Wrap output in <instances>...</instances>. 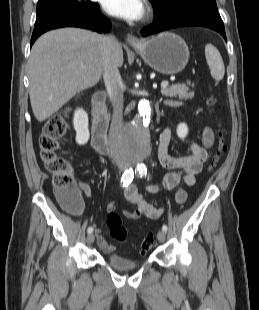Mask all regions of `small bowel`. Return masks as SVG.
<instances>
[{"mask_svg":"<svg viewBox=\"0 0 259 310\" xmlns=\"http://www.w3.org/2000/svg\"><path fill=\"white\" fill-rule=\"evenodd\" d=\"M171 137V130L165 129L160 134L157 149L159 162L168 170V173L159 181L148 184L146 189L151 193L167 192L177 189L175 193V201L177 204H183L187 199V193L185 189L180 187V184L183 182L186 186H193L196 183V176L203 168V164L207 159V149L213 146L215 136L210 127H204L201 135V144L192 142L190 144V154L187 156H173L169 154L168 146ZM82 188L86 195L90 194V189L87 185L83 184ZM124 196L132 207L123 212L128 219L137 220L140 217L145 216L149 219L155 220L161 216L163 209L150 203L141 193H139L135 184L130 183L125 186ZM107 210L109 212L115 211L116 204L114 202H109ZM95 234L96 243L104 253L112 254L115 252V245L105 239L99 228L95 229Z\"/></svg>","mask_w":259,"mask_h":310,"instance_id":"small-bowel-1","label":"small bowel"}]
</instances>
